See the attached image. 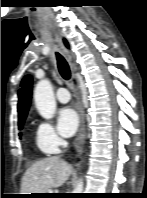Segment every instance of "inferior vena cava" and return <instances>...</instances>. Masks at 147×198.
I'll return each mask as SVG.
<instances>
[{
	"instance_id": "obj_1",
	"label": "inferior vena cava",
	"mask_w": 147,
	"mask_h": 198,
	"mask_svg": "<svg viewBox=\"0 0 147 198\" xmlns=\"http://www.w3.org/2000/svg\"><path fill=\"white\" fill-rule=\"evenodd\" d=\"M59 143L63 147H66L67 146V142L65 140H63V139H60Z\"/></svg>"
}]
</instances>
